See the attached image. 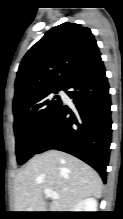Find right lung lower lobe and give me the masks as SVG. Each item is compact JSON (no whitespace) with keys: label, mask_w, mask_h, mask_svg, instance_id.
I'll return each instance as SVG.
<instances>
[{"label":"right lung lower lobe","mask_w":123,"mask_h":219,"mask_svg":"<svg viewBox=\"0 0 123 219\" xmlns=\"http://www.w3.org/2000/svg\"><path fill=\"white\" fill-rule=\"evenodd\" d=\"M74 107L61 103L41 138L36 154L55 148L92 166L106 182L111 143V101L101 57L64 85Z\"/></svg>","instance_id":"1"}]
</instances>
